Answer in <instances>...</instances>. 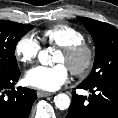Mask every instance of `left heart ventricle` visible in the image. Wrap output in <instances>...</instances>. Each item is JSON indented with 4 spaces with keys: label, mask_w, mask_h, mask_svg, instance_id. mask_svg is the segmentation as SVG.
Instances as JSON below:
<instances>
[{
    "label": "left heart ventricle",
    "mask_w": 118,
    "mask_h": 118,
    "mask_svg": "<svg viewBox=\"0 0 118 118\" xmlns=\"http://www.w3.org/2000/svg\"><path fill=\"white\" fill-rule=\"evenodd\" d=\"M55 62L62 63L69 69L70 67L78 64L80 60L77 61L70 60L60 51L56 56Z\"/></svg>",
    "instance_id": "1"
}]
</instances>
